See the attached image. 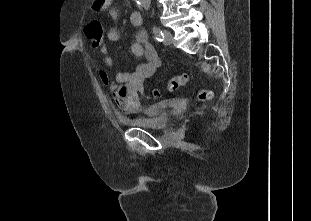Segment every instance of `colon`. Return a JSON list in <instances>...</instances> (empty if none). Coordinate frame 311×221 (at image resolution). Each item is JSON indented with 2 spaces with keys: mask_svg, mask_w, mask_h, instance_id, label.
Listing matches in <instances>:
<instances>
[{
  "mask_svg": "<svg viewBox=\"0 0 311 221\" xmlns=\"http://www.w3.org/2000/svg\"><path fill=\"white\" fill-rule=\"evenodd\" d=\"M88 36L91 40V45L94 49H97L101 46L103 40V26L98 19H93L87 25ZM189 82V76L187 73L178 74L172 77L164 86L163 89H155L153 91V95L158 97L161 95L162 90L167 92H173L181 87H184ZM212 97V92L207 89L203 88L199 92V99L201 101L208 100Z\"/></svg>",
  "mask_w": 311,
  "mask_h": 221,
  "instance_id": "obj_1",
  "label": "colon"
}]
</instances>
